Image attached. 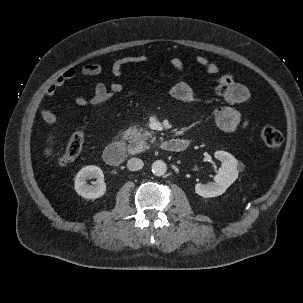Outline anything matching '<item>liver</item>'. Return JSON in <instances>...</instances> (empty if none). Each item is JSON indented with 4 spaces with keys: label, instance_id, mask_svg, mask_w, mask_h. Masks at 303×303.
<instances>
[{
    "label": "liver",
    "instance_id": "1",
    "mask_svg": "<svg viewBox=\"0 0 303 303\" xmlns=\"http://www.w3.org/2000/svg\"><path fill=\"white\" fill-rule=\"evenodd\" d=\"M52 139H53V136H52V135H49L47 141L49 142V141H51ZM44 154L47 155V156L52 155V149H51V148H46V149L44 150Z\"/></svg>",
    "mask_w": 303,
    "mask_h": 303
}]
</instances>
